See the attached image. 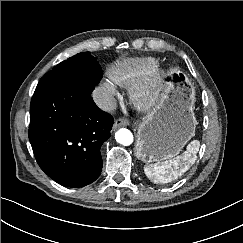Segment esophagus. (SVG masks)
Listing matches in <instances>:
<instances>
[{"mask_svg": "<svg viewBox=\"0 0 243 243\" xmlns=\"http://www.w3.org/2000/svg\"><path fill=\"white\" fill-rule=\"evenodd\" d=\"M130 125V121L127 119H118L115 121L113 128L117 129L119 127H124Z\"/></svg>", "mask_w": 243, "mask_h": 243, "instance_id": "esophagus-1", "label": "esophagus"}]
</instances>
